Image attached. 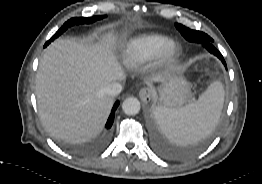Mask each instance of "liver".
I'll return each mask as SVG.
<instances>
[{
    "instance_id": "liver-1",
    "label": "liver",
    "mask_w": 262,
    "mask_h": 184,
    "mask_svg": "<svg viewBox=\"0 0 262 184\" xmlns=\"http://www.w3.org/2000/svg\"><path fill=\"white\" fill-rule=\"evenodd\" d=\"M114 43L108 33L96 45L58 39L46 49L36 75V97L41 121L52 137L81 143L102 130L113 105L105 88L125 78L112 52Z\"/></svg>"
}]
</instances>
